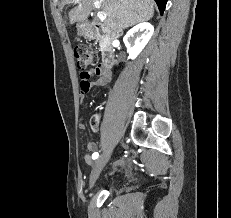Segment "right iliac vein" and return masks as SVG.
<instances>
[{"label":"right iliac vein","instance_id":"1","mask_svg":"<svg viewBox=\"0 0 231 218\" xmlns=\"http://www.w3.org/2000/svg\"><path fill=\"white\" fill-rule=\"evenodd\" d=\"M110 156H111V151H107L95 161L90 175V188L94 186L97 178L99 177L102 169L108 162Z\"/></svg>","mask_w":231,"mask_h":218}]
</instances>
